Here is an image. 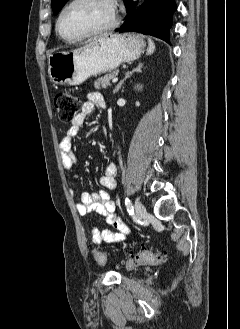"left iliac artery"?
Instances as JSON below:
<instances>
[{"mask_svg": "<svg viewBox=\"0 0 240 329\" xmlns=\"http://www.w3.org/2000/svg\"><path fill=\"white\" fill-rule=\"evenodd\" d=\"M125 205H126V207H127V211H128V213H129L130 215H132L133 212H134V208H133L132 202H131V200H130L129 198H126V199H125Z\"/></svg>", "mask_w": 240, "mask_h": 329, "instance_id": "1", "label": "left iliac artery"}]
</instances>
